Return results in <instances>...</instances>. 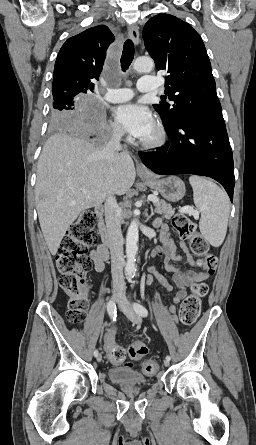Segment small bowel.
<instances>
[{"mask_svg":"<svg viewBox=\"0 0 256 445\" xmlns=\"http://www.w3.org/2000/svg\"><path fill=\"white\" fill-rule=\"evenodd\" d=\"M156 225L160 227L161 239L160 244L153 250L152 256L154 258H163V268L172 276V281L178 288L173 295L172 303L168 305L169 312L174 314L176 312L177 305L186 297L187 288H190L195 283L202 281L205 278V275L192 269L183 268L182 263L190 267L194 266V261L187 251L186 243H180V248L184 251V255H178L176 253L175 243L170 237L167 227L162 224L161 220H157ZM90 258L94 264L95 271L100 273L105 268V263L109 258V254L106 247L100 244L90 252ZM153 279L157 280L167 292H173L174 286L159 273L158 268L155 265L148 267V282H151ZM114 337L115 329L112 328L105 335V344L107 349L115 344Z\"/></svg>","mask_w":256,"mask_h":445,"instance_id":"c3829d8e","label":"small bowel"}]
</instances>
